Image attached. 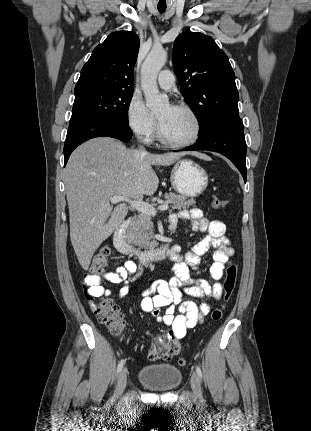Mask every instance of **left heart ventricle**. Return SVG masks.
Returning a JSON list of instances; mask_svg holds the SVG:
<instances>
[{
    "label": "left heart ventricle",
    "instance_id": "obj_1",
    "mask_svg": "<svg viewBox=\"0 0 311 431\" xmlns=\"http://www.w3.org/2000/svg\"><path fill=\"white\" fill-rule=\"evenodd\" d=\"M164 136L172 141L187 142L196 134V122L186 111L166 106L157 113Z\"/></svg>",
    "mask_w": 311,
    "mask_h": 431
}]
</instances>
